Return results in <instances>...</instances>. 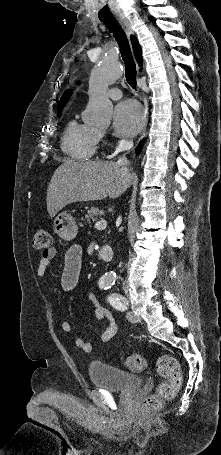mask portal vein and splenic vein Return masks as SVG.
Here are the masks:
<instances>
[{"mask_svg": "<svg viewBox=\"0 0 221 455\" xmlns=\"http://www.w3.org/2000/svg\"><path fill=\"white\" fill-rule=\"evenodd\" d=\"M107 226V221L105 219H101L100 221L95 223V228L97 229H104Z\"/></svg>", "mask_w": 221, "mask_h": 455, "instance_id": "1", "label": "portal vein and splenic vein"}]
</instances>
